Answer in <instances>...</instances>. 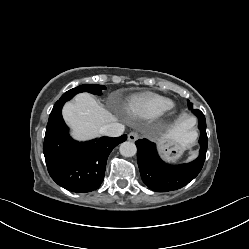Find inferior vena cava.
<instances>
[{
	"mask_svg": "<svg viewBox=\"0 0 249 249\" xmlns=\"http://www.w3.org/2000/svg\"><path fill=\"white\" fill-rule=\"evenodd\" d=\"M125 127L120 123H110L100 129V133L108 137H118L123 134Z\"/></svg>",
	"mask_w": 249,
	"mask_h": 249,
	"instance_id": "obj_1",
	"label": "inferior vena cava"
}]
</instances>
